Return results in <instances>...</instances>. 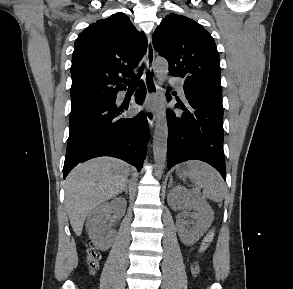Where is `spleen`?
I'll return each instance as SVG.
<instances>
[{
	"instance_id": "spleen-1",
	"label": "spleen",
	"mask_w": 293,
	"mask_h": 289,
	"mask_svg": "<svg viewBox=\"0 0 293 289\" xmlns=\"http://www.w3.org/2000/svg\"><path fill=\"white\" fill-rule=\"evenodd\" d=\"M189 178L203 188V195L215 202H221L226 195V186L220 174L208 164L192 160L187 162Z\"/></svg>"
}]
</instances>
